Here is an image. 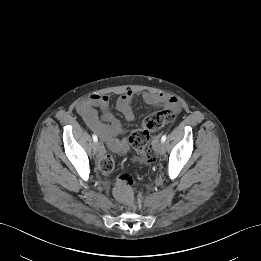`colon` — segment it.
Returning a JSON list of instances; mask_svg holds the SVG:
<instances>
[{"label":"colon","instance_id":"obj_1","mask_svg":"<svg viewBox=\"0 0 261 261\" xmlns=\"http://www.w3.org/2000/svg\"><path fill=\"white\" fill-rule=\"evenodd\" d=\"M174 117V112L170 109L151 113L143 119L138 129L130 133L129 143L136 151L138 157L147 165L151 166L155 162L154 151L149 146L151 133L172 122ZM114 166L115 161L111 154L107 153L101 157L99 169L103 175L111 173ZM114 193L127 207L133 206V180L128 173H123L117 178Z\"/></svg>","mask_w":261,"mask_h":261}]
</instances>
